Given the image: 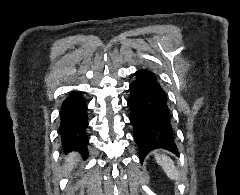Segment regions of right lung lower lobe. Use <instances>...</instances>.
<instances>
[{
    "instance_id": "1",
    "label": "right lung lower lobe",
    "mask_w": 240,
    "mask_h": 195,
    "mask_svg": "<svg viewBox=\"0 0 240 195\" xmlns=\"http://www.w3.org/2000/svg\"><path fill=\"white\" fill-rule=\"evenodd\" d=\"M87 127V105L82 92H70L63 101L60 111L59 133L66 152L77 150L87 157Z\"/></svg>"
}]
</instances>
